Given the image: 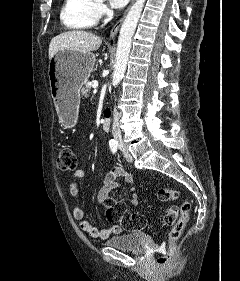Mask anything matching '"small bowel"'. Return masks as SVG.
<instances>
[{"label": "small bowel", "instance_id": "c3829d8e", "mask_svg": "<svg viewBox=\"0 0 240 281\" xmlns=\"http://www.w3.org/2000/svg\"><path fill=\"white\" fill-rule=\"evenodd\" d=\"M85 175L84 170L77 169L72 176V181L69 185L70 194L73 197H77L79 194L78 185L76 180L83 178ZM122 177L125 182L129 184L132 192V204L136 205L138 202L136 186L134 177L131 173L127 172L123 167L112 166L107 171L103 184L97 194V202L100 205H104L105 201L108 199L109 194L112 190L119 187L118 179ZM72 216L75 220L79 222L80 229L89 234L91 237L96 239H106L111 234H117L122 231V227L119 225H114L109 229H99L95 227L90 221L85 219V214L81 206L76 205L73 207Z\"/></svg>", "mask_w": 240, "mask_h": 281}]
</instances>
